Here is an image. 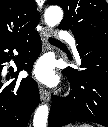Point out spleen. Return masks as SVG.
<instances>
[{
	"instance_id": "spleen-1",
	"label": "spleen",
	"mask_w": 108,
	"mask_h": 127,
	"mask_svg": "<svg viewBox=\"0 0 108 127\" xmlns=\"http://www.w3.org/2000/svg\"><path fill=\"white\" fill-rule=\"evenodd\" d=\"M81 127H92L90 124L84 123L81 125Z\"/></svg>"
}]
</instances>
